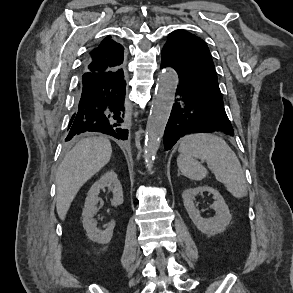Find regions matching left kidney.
Returning a JSON list of instances; mask_svg holds the SVG:
<instances>
[{"instance_id": "5707ae66", "label": "left kidney", "mask_w": 293, "mask_h": 293, "mask_svg": "<svg viewBox=\"0 0 293 293\" xmlns=\"http://www.w3.org/2000/svg\"><path fill=\"white\" fill-rule=\"evenodd\" d=\"M203 192L212 194L215 200L211 208L215 210L216 215L210 219L203 218L200 211L194 206L195 197ZM182 198L190 219L197 229L204 234L216 235L222 233L232 220V215L222 195L210 186L186 189L182 193Z\"/></svg>"}]
</instances>
